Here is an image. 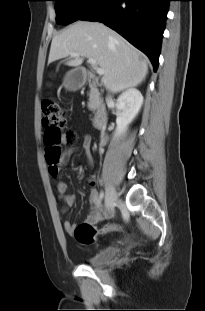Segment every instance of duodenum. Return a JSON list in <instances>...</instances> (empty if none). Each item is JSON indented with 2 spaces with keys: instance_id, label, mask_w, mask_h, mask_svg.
Returning <instances> with one entry per match:
<instances>
[{
  "instance_id": "410a0bca",
  "label": "duodenum",
  "mask_w": 205,
  "mask_h": 311,
  "mask_svg": "<svg viewBox=\"0 0 205 311\" xmlns=\"http://www.w3.org/2000/svg\"><path fill=\"white\" fill-rule=\"evenodd\" d=\"M74 75L79 79V83L89 85L93 90L98 88V84L100 82L99 79L91 75L85 68H78ZM107 115L108 111L106 104L104 102H99L93 117L94 125L102 124L106 120Z\"/></svg>"
}]
</instances>
